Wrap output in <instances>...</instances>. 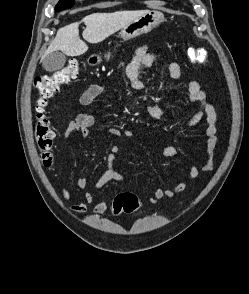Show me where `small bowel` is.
Instances as JSON below:
<instances>
[{
	"instance_id": "c3829d8e",
	"label": "small bowel",
	"mask_w": 249,
	"mask_h": 294,
	"mask_svg": "<svg viewBox=\"0 0 249 294\" xmlns=\"http://www.w3.org/2000/svg\"><path fill=\"white\" fill-rule=\"evenodd\" d=\"M160 57L159 53L150 50L149 46L144 45L138 48L134 54V60L126 67V76L129 80L130 86L134 90H140L144 87L143 75L145 71ZM169 75L172 79H179L182 75L181 66L177 62H172L169 65ZM104 85L102 83H93L87 87L80 95L79 102L82 106L90 105L94 99L103 91ZM191 103H196L197 108L192 115L184 123V129H190L196 126L200 121L205 118L207 122V128L205 130V136L207 139V149L204 154L203 163L200 167L195 165L191 166L188 173V179L193 181L197 179L200 171L210 172L214 168L216 147L218 138L216 136V122L217 114L215 108L206 98V92L197 81H191L188 84L187 97L175 108H165L160 104H152L147 107L146 114L152 119L163 118L176 109L183 108ZM94 117L87 113H79L76 118L69 122L63 132L64 138H70L75 133L80 132L83 138L90 136V128L94 124ZM109 134L112 137H125L132 138L133 132L118 126L111 127ZM121 151L119 144H113L110 148V153L107 157V168L100 175V177L93 184L94 189H100L111 181H125L126 178L115 167L114 161L117 158L118 153ZM177 149L174 146H167L164 148L162 155L164 158H171L176 155ZM77 186L81 189H85L88 186V181L85 178H79L77 180ZM187 187V181L180 180L173 187L157 188L149 196V202L151 204L158 203L162 198H172L182 193ZM64 197L67 200L74 198L73 192L68 189L63 191ZM93 201V194L86 192L82 195L79 203L73 204L70 210L74 213L86 212L89 205ZM112 205L110 201L103 200L97 203L93 208V213L97 216L104 214L108 208Z\"/></svg>"
}]
</instances>
